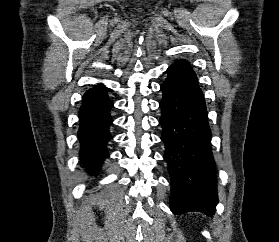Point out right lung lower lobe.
<instances>
[{
  "instance_id": "1",
  "label": "right lung lower lobe",
  "mask_w": 279,
  "mask_h": 242,
  "mask_svg": "<svg viewBox=\"0 0 279 242\" xmlns=\"http://www.w3.org/2000/svg\"><path fill=\"white\" fill-rule=\"evenodd\" d=\"M82 102L79 112V155L83 167L96 176L109 157L107 146L112 139L110 126L113 119L110 109L113 102L108 99L103 86L85 93Z\"/></svg>"
}]
</instances>
